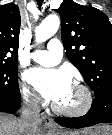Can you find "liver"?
Here are the masks:
<instances>
[{
  "label": "liver",
  "mask_w": 112,
  "mask_h": 135,
  "mask_svg": "<svg viewBox=\"0 0 112 135\" xmlns=\"http://www.w3.org/2000/svg\"><path fill=\"white\" fill-rule=\"evenodd\" d=\"M23 129L19 125V120L13 116L0 113V135H23ZM37 129L35 135H40Z\"/></svg>",
  "instance_id": "1"
}]
</instances>
